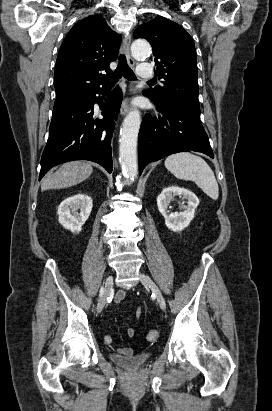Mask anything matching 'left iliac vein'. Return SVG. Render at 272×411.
Returning a JSON list of instances; mask_svg holds the SVG:
<instances>
[{"label":"left iliac vein","instance_id":"left-iliac-vein-1","mask_svg":"<svg viewBox=\"0 0 272 411\" xmlns=\"http://www.w3.org/2000/svg\"><path fill=\"white\" fill-rule=\"evenodd\" d=\"M140 281L143 285L149 287L151 289V291L154 293L157 302L159 304V306L161 307L162 310L166 309V302L165 299L163 297V295L161 294L159 288L157 287V285L153 282V280L145 275V274H140Z\"/></svg>","mask_w":272,"mask_h":411}]
</instances>
